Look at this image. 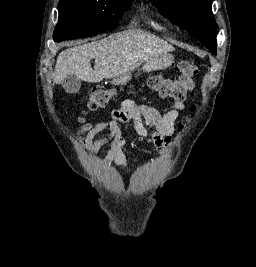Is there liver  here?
I'll list each match as a JSON object with an SVG mask.
<instances>
[{"label":"liver","instance_id":"1","mask_svg":"<svg viewBox=\"0 0 256 267\" xmlns=\"http://www.w3.org/2000/svg\"><path fill=\"white\" fill-rule=\"evenodd\" d=\"M164 52H175V48L143 30H124L99 42L61 52L55 66L54 84H62L67 76H77L91 84L102 82L103 78H114V82L118 80L120 84L127 72ZM93 58L94 70L90 64Z\"/></svg>","mask_w":256,"mask_h":267}]
</instances>
